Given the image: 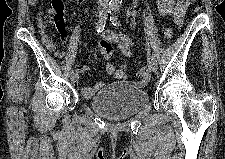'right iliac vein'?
<instances>
[{
  "instance_id": "1",
  "label": "right iliac vein",
  "mask_w": 225,
  "mask_h": 159,
  "mask_svg": "<svg viewBox=\"0 0 225 159\" xmlns=\"http://www.w3.org/2000/svg\"><path fill=\"white\" fill-rule=\"evenodd\" d=\"M70 79L73 83L78 81V74L77 73H72L70 74Z\"/></svg>"
}]
</instances>
